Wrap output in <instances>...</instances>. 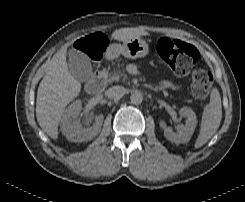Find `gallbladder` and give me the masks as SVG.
Listing matches in <instances>:
<instances>
[{
    "instance_id": "bac80fb5",
    "label": "gallbladder",
    "mask_w": 245,
    "mask_h": 202,
    "mask_svg": "<svg viewBox=\"0 0 245 202\" xmlns=\"http://www.w3.org/2000/svg\"><path fill=\"white\" fill-rule=\"evenodd\" d=\"M68 67L70 73L80 82H87L93 76L89 57L81 51L70 50Z\"/></svg>"
}]
</instances>
